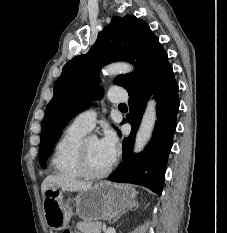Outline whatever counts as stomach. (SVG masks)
Returning <instances> with one entry per match:
<instances>
[{
	"mask_svg": "<svg viewBox=\"0 0 227 233\" xmlns=\"http://www.w3.org/2000/svg\"><path fill=\"white\" fill-rule=\"evenodd\" d=\"M136 191L129 185L100 182L80 191L73 201L66 200L60 188H48L43 200L46 224L52 230H62L76 214L88 221L112 220L134 205Z\"/></svg>",
	"mask_w": 227,
	"mask_h": 233,
	"instance_id": "1",
	"label": "stomach"
}]
</instances>
